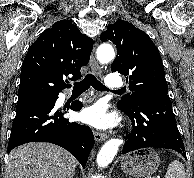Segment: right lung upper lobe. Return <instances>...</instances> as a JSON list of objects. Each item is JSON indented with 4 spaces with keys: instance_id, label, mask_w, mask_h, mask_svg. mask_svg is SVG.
Listing matches in <instances>:
<instances>
[{
    "instance_id": "1",
    "label": "right lung upper lobe",
    "mask_w": 194,
    "mask_h": 178,
    "mask_svg": "<svg viewBox=\"0 0 194 178\" xmlns=\"http://www.w3.org/2000/svg\"><path fill=\"white\" fill-rule=\"evenodd\" d=\"M92 48L93 40L71 21L53 24L28 49L22 63L18 103L54 98L69 88L65 78H81L80 69L88 63Z\"/></svg>"
}]
</instances>
